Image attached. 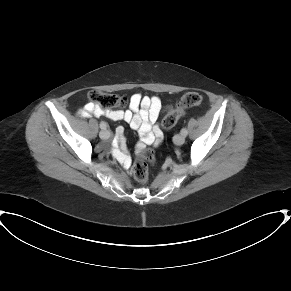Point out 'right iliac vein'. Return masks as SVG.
<instances>
[{"instance_id": "obj_1", "label": "right iliac vein", "mask_w": 291, "mask_h": 291, "mask_svg": "<svg viewBox=\"0 0 291 291\" xmlns=\"http://www.w3.org/2000/svg\"><path fill=\"white\" fill-rule=\"evenodd\" d=\"M99 136L101 139H108L110 137V132L103 129L102 131H100Z\"/></svg>"}]
</instances>
